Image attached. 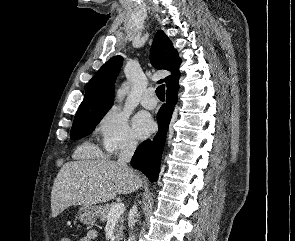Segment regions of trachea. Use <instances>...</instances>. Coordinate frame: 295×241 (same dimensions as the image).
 I'll list each match as a JSON object with an SVG mask.
<instances>
[{
	"label": "trachea",
	"instance_id": "1",
	"mask_svg": "<svg viewBox=\"0 0 295 241\" xmlns=\"http://www.w3.org/2000/svg\"><path fill=\"white\" fill-rule=\"evenodd\" d=\"M156 95L160 100L165 99V85H160L159 87H157Z\"/></svg>",
	"mask_w": 295,
	"mask_h": 241
}]
</instances>
